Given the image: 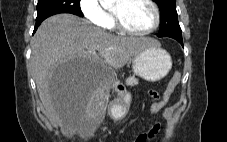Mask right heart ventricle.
<instances>
[{
    "instance_id": "obj_1",
    "label": "right heart ventricle",
    "mask_w": 227,
    "mask_h": 142,
    "mask_svg": "<svg viewBox=\"0 0 227 142\" xmlns=\"http://www.w3.org/2000/svg\"><path fill=\"white\" fill-rule=\"evenodd\" d=\"M108 30H115V24L113 22L112 16H110L107 25L105 26Z\"/></svg>"
}]
</instances>
